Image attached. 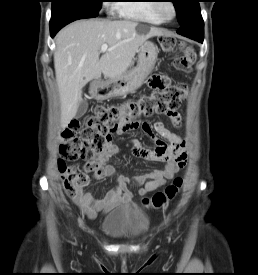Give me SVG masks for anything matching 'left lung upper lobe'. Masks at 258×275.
<instances>
[{"label": "left lung upper lobe", "instance_id": "1", "mask_svg": "<svg viewBox=\"0 0 258 275\" xmlns=\"http://www.w3.org/2000/svg\"><path fill=\"white\" fill-rule=\"evenodd\" d=\"M172 2L181 26L190 21L193 10L199 6L197 0H172Z\"/></svg>", "mask_w": 258, "mask_h": 275}]
</instances>
